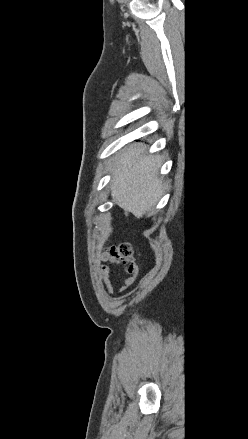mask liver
Here are the masks:
<instances>
[{
    "label": "liver",
    "instance_id": "1",
    "mask_svg": "<svg viewBox=\"0 0 248 439\" xmlns=\"http://www.w3.org/2000/svg\"><path fill=\"white\" fill-rule=\"evenodd\" d=\"M145 151L138 143L126 147L115 156L111 170L113 200L138 218L148 214L164 192L160 157Z\"/></svg>",
    "mask_w": 248,
    "mask_h": 439
}]
</instances>
